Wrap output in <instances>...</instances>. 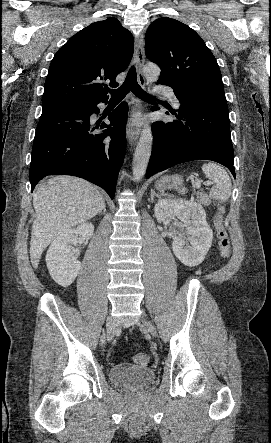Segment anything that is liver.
<instances>
[{"label": "liver", "mask_w": 271, "mask_h": 443, "mask_svg": "<svg viewBox=\"0 0 271 443\" xmlns=\"http://www.w3.org/2000/svg\"><path fill=\"white\" fill-rule=\"evenodd\" d=\"M105 206L104 196L95 186L74 178L56 176L38 184L33 194L36 212L31 229L30 259L37 269L47 245L66 229L87 222Z\"/></svg>", "instance_id": "6515ba94"}]
</instances>
